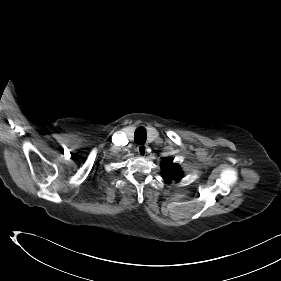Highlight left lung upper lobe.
I'll return each instance as SVG.
<instances>
[{"label": "left lung upper lobe", "instance_id": "5c2ea615", "mask_svg": "<svg viewBox=\"0 0 281 281\" xmlns=\"http://www.w3.org/2000/svg\"><path fill=\"white\" fill-rule=\"evenodd\" d=\"M163 171V177L167 182H171V180H179L182 177L179 166L172 163V159L167 158L162 161L161 165Z\"/></svg>", "mask_w": 281, "mask_h": 281}]
</instances>
